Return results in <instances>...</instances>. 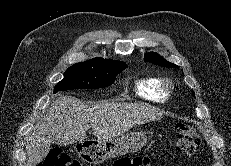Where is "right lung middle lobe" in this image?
Returning a JSON list of instances; mask_svg holds the SVG:
<instances>
[{"mask_svg": "<svg viewBox=\"0 0 231 166\" xmlns=\"http://www.w3.org/2000/svg\"><path fill=\"white\" fill-rule=\"evenodd\" d=\"M127 65L121 61L111 59L88 60L69 67L64 78L55 86L54 93L71 89H97L110 86L116 76Z\"/></svg>", "mask_w": 231, "mask_h": 166, "instance_id": "dd1d6c3e", "label": "right lung middle lobe"}]
</instances>
